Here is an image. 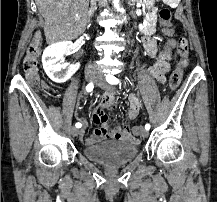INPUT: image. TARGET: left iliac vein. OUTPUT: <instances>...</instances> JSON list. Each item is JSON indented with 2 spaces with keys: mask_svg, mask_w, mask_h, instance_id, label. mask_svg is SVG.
Returning <instances> with one entry per match:
<instances>
[{
  "mask_svg": "<svg viewBox=\"0 0 217 202\" xmlns=\"http://www.w3.org/2000/svg\"><path fill=\"white\" fill-rule=\"evenodd\" d=\"M95 83H96V85H98L100 88H102V89H104V90H111V89H112V87H111L109 84H107V83L102 79L101 76H98V77L96 78ZM148 135H149V134H148V131H147L146 129L142 128L141 131H140V136L143 137V138H145V137H148Z\"/></svg>",
  "mask_w": 217,
  "mask_h": 202,
  "instance_id": "left-iliac-vein-1",
  "label": "left iliac vein"
}]
</instances>
